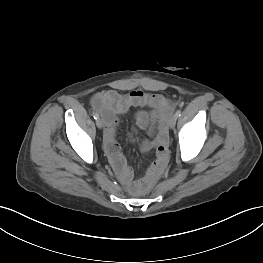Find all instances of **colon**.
I'll list each match as a JSON object with an SVG mask.
<instances>
[{
	"label": "colon",
	"mask_w": 263,
	"mask_h": 263,
	"mask_svg": "<svg viewBox=\"0 0 263 263\" xmlns=\"http://www.w3.org/2000/svg\"><path fill=\"white\" fill-rule=\"evenodd\" d=\"M155 175H150L149 179L153 178ZM146 181H139L135 184V186L133 187V190H138L139 188H142L145 185Z\"/></svg>",
	"instance_id": "5ec220e1"
}]
</instances>
